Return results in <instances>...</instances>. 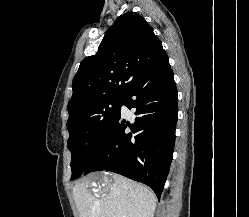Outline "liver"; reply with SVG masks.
Here are the masks:
<instances>
[{
  "label": "liver",
  "mask_w": 249,
  "mask_h": 217,
  "mask_svg": "<svg viewBox=\"0 0 249 217\" xmlns=\"http://www.w3.org/2000/svg\"><path fill=\"white\" fill-rule=\"evenodd\" d=\"M91 185L95 193L90 191ZM73 195L80 217H154L157 201L145 186L106 172L77 183Z\"/></svg>",
  "instance_id": "obj_1"
}]
</instances>
